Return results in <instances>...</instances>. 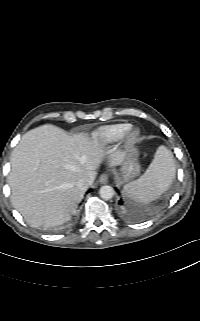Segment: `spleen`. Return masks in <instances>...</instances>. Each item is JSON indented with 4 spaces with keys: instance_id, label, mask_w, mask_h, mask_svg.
Listing matches in <instances>:
<instances>
[{
    "instance_id": "obj_1",
    "label": "spleen",
    "mask_w": 200,
    "mask_h": 321,
    "mask_svg": "<svg viewBox=\"0 0 200 321\" xmlns=\"http://www.w3.org/2000/svg\"><path fill=\"white\" fill-rule=\"evenodd\" d=\"M175 159L172 152L160 146L145 173L124 186V192L142 203L158 199L168 190L175 178Z\"/></svg>"
}]
</instances>
